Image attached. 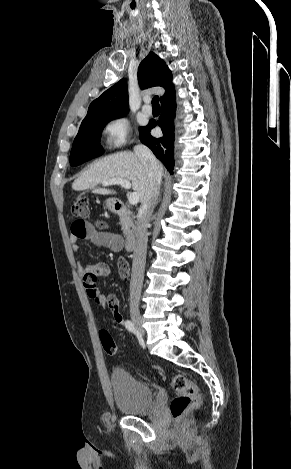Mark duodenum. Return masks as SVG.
Listing matches in <instances>:
<instances>
[{"label":"duodenum","mask_w":291,"mask_h":469,"mask_svg":"<svg viewBox=\"0 0 291 469\" xmlns=\"http://www.w3.org/2000/svg\"><path fill=\"white\" fill-rule=\"evenodd\" d=\"M112 207L116 213L127 215L131 219L133 218L132 211L121 200H114L112 203ZM135 245H136L135 227L132 226L125 238L124 247L127 251H133L135 248Z\"/></svg>","instance_id":"1"}]
</instances>
